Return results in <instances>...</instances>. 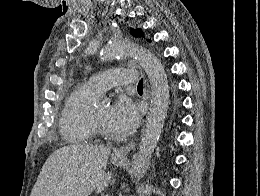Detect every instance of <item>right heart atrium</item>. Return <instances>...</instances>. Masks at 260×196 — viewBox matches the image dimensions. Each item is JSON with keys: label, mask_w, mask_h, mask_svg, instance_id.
<instances>
[{"label": "right heart atrium", "mask_w": 260, "mask_h": 196, "mask_svg": "<svg viewBox=\"0 0 260 196\" xmlns=\"http://www.w3.org/2000/svg\"><path fill=\"white\" fill-rule=\"evenodd\" d=\"M85 191L86 190H54V192H85Z\"/></svg>", "instance_id": "d8ad5b80"}]
</instances>
